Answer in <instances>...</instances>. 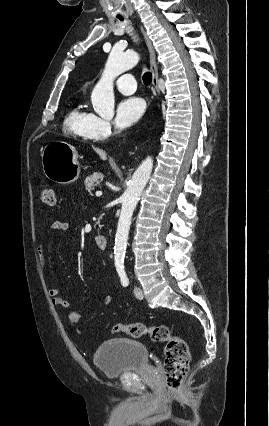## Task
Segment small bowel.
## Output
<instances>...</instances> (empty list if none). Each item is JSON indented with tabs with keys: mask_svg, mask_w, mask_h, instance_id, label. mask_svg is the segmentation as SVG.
I'll return each mask as SVG.
<instances>
[{
	"mask_svg": "<svg viewBox=\"0 0 269 426\" xmlns=\"http://www.w3.org/2000/svg\"><path fill=\"white\" fill-rule=\"evenodd\" d=\"M69 228V224L65 221L56 220L51 225V231L54 233H63L66 232ZM39 257L41 264L44 268H47L48 260L46 255L45 246L42 244L38 248ZM49 295L51 296L54 306L62 309H67L70 307V302L62 297L61 292L58 288L52 287L49 289ZM99 301H102L105 306H111L113 302L112 295H106L103 298H99ZM68 319L71 322H76L79 319V314L72 312L68 315Z\"/></svg>",
	"mask_w": 269,
	"mask_h": 426,
	"instance_id": "1",
	"label": "small bowel"
}]
</instances>
